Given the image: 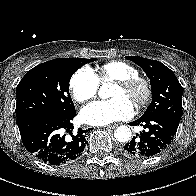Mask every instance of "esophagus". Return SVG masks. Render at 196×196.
<instances>
[{
	"label": "esophagus",
	"mask_w": 196,
	"mask_h": 196,
	"mask_svg": "<svg viewBox=\"0 0 196 196\" xmlns=\"http://www.w3.org/2000/svg\"><path fill=\"white\" fill-rule=\"evenodd\" d=\"M117 125H109V126H105L104 128L106 129H114Z\"/></svg>",
	"instance_id": "1"
}]
</instances>
